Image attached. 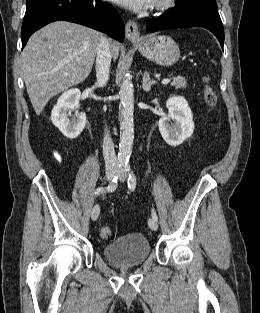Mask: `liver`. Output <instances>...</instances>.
<instances>
[{
  "label": "liver",
  "mask_w": 260,
  "mask_h": 313,
  "mask_svg": "<svg viewBox=\"0 0 260 313\" xmlns=\"http://www.w3.org/2000/svg\"><path fill=\"white\" fill-rule=\"evenodd\" d=\"M102 34L67 21L53 22L34 33L21 54L27 93L37 115L55 95L90 74ZM110 49L118 57L119 45Z\"/></svg>",
  "instance_id": "1"
}]
</instances>
